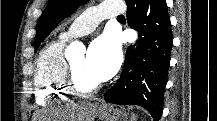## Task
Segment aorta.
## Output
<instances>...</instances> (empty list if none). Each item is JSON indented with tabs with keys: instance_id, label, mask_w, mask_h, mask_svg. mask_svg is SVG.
I'll return each mask as SVG.
<instances>
[{
	"instance_id": "aorta-1",
	"label": "aorta",
	"mask_w": 217,
	"mask_h": 121,
	"mask_svg": "<svg viewBox=\"0 0 217 121\" xmlns=\"http://www.w3.org/2000/svg\"><path fill=\"white\" fill-rule=\"evenodd\" d=\"M81 48H82V46H81L80 43H78V42H73V43H71V44L68 46V48H67V50H66V54H67V55H72L74 52L78 51V50L81 49Z\"/></svg>"
}]
</instances>
